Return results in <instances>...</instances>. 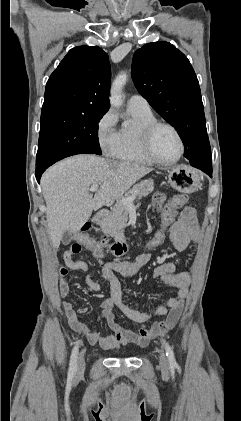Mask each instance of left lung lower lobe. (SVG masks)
Returning <instances> with one entry per match:
<instances>
[{"label":"left lung lower lobe","mask_w":241,"mask_h":421,"mask_svg":"<svg viewBox=\"0 0 241 421\" xmlns=\"http://www.w3.org/2000/svg\"><path fill=\"white\" fill-rule=\"evenodd\" d=\"M190 164L194 167L202 169L204 172L212 176V163L192 162Z\"/></svg>","instance_id":"obj_1"}]
</instances>
